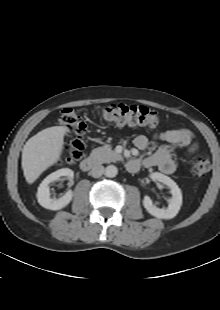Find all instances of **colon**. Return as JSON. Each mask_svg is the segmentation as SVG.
Wrapping results in <instances>:
<instances>
[{
  "instance_id": "1",
  "label": "colon",
  "mask_w": 220,
  "mask_h": 310,
  "mask_svg": "<svg viewBox=\"0 0 220 310\" xmlns=\"http://www.w3.org/2000/svg\"><path fill=\"white\" fill-rule=\"evenodd\" d=\"M101 115L105 120L122 126L153 128L159 124L158 114L142 106L110 104L101 109ZM59 122L68 131L65 159L68 162L77 161L83 155L86 124L71 108L61 111ZM210 168V160L206 157H200L192 163V172L198 176L206 174Z\"/></svg>"
}]
</instances>
